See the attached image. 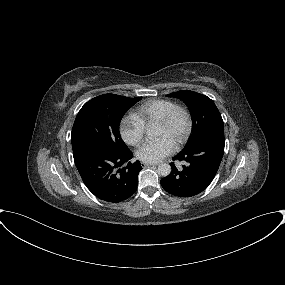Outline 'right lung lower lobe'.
Masks as SVG:
<instances>
[{
    "label": "right lung lower lobe",
    "mask_w": 285,
    "mask_h": 285,
    "mask_svg": "<svg viewBox=\"0 0 285 285\" xmlns=\"http://www.w3.org/2000/svg\"><path fill=\"white\" fill-rule=\"evenodd\" d=\"M75 165L87 188L101 200L117 203L131 197L137 189L139 161L129 160L132 152L113 153L90 144L73 148ZM127 163L125 167H118Z\"/></svg>",
    "instance_id": "obj_1"
}]
</instances>
